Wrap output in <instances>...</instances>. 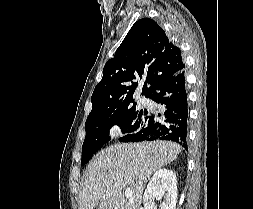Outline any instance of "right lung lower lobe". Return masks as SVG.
<instances>
[{
    "instance_id": "98d812e1",
    "label": "right lung lower lobe",
    "mask_w": 253,
    "mask_h": 209,
    "mask_svg": "<svg viewBox=\"0 0 253 209\" xmlns=\"http://www.w3.org/2000/svg\"><path fill=\"white\" fill-rule=\"evenodd\" d=\"M150 99L163 105L165 112L149 116L139 131L122 142L169 140L187 150L188 104L184 70L169 78Z\"/></svg>"
}]
</instances>
